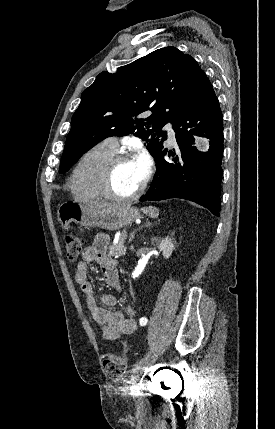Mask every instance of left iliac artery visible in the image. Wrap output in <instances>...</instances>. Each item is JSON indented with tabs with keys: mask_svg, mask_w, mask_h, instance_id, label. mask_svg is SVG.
I'll list each match as a JSON object with an SVG mask.
<instances>
[{
	"mask_svg": "<svg viewBox=\"0 0 275 429\" xmlns=\"http://www.w3.org/2000/svg\"><path fill=\"white\" fill-rule=\"evenodd\" d=\"M147 322H148V320H147L146 317H142L139 320V323H140L141 326H145L147 324Z\"/></svg>",
	"mask_w": 275,
	"mask_h": 429,
	"instance_id": "44dca946",
	"label": "left iliac artery"
}]
</instances>
